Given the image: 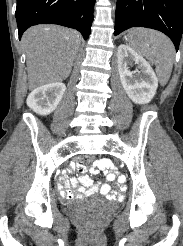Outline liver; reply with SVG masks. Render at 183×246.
I'll list each match as a JSON object with an SVG mask.
<instances>
[{
    "instance_id": "liver-1",
    "label": "liver",
    "mask_w": 183,
    "mask_h": 246,
    "mask_svg": "<svg viewBox=\"0 0 183 246\" xmlns=\"http://www.w3.org/2000/svg\"><path fill=\"white\" fill-rule=\"evenodd\" d=\"M26 52L28 86H40L65 80L71 73L81 35L73 29L53 25L29 28L22 37Z\"/></svg>"
}]
</instances>
